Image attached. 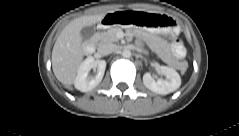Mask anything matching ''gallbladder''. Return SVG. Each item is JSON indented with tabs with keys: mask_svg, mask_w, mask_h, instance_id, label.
Returning <instances> with one entry per match:
<instances>
[{
	"mask_svg": "<svg viewBox=\"0 0 239 136\" xmlns=\"http://www.w3.org/2000/svg\"><path fill=\"white\" fill-rule=\"evenodd\" d=\"M94 28L92 26H86L82 28L81 35L84 39H90L94 35Z\"/></svg>",
	"mask_w": 239,
	"mask_h": 136,
	"instance_id": "1",
	"label": "gallbladder"
}]
</instances>
